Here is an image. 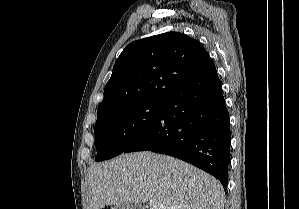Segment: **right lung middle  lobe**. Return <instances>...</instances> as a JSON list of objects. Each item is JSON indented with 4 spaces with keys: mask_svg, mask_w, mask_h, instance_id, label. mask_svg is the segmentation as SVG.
Masks as SVG:
<instances>
[{
    "mask_svg": "<svg viewBox=\"0 0 299 209\" xmlns=\"http://www.w3.org/2000/svg\"><path fill=\"white\" fill-rule=\"evenodd\" d=\"M163 102L120 105L97 115L95 123L96 161L123 153L157 119Z\"/></svg>",
    "mask_w": 299,
    "mask_h": 209,
    "instance_id": "right-lung-middle-lobe-1",
    "label": "right lung middle lobe"
}]
</instances>
